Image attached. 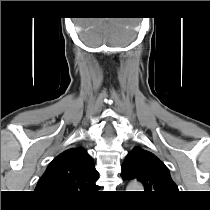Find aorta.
I'll return each mask as SVG.
<instances>
[{
	"label": "aorta",
	"mask_w": 210,
	"mask_h": 210,
	"mask_svg": "<svg viewBox=\"0 0 210 210\" xmlns=\"http://www.w3.org/2000/svg\"><path fill=\"white\" fill-rule=\"evenodd\" d=\"M128 189H131L129 191H136L135 189H143L142 185L137 183V182H134V183H131L129 186H128Z\"/></svg>",
	"instance_id": "762f6f07"
}]
</instances>
